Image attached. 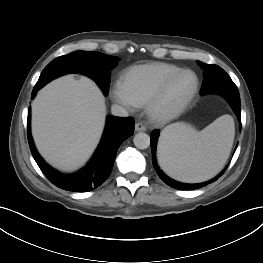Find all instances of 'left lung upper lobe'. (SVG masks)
I'll use <instances>...</instances> for the list:
<instances>
[{
    "mask_svg": "<svg viewBox=\"0 0 263 263\" xmlns=\"http://www.w3.org/2000/svg\"><path fill=\"white\" fill-rule=\"evenodd\" d=\"M202 63L198 61V64ZM219 77L214 81L216 86H234L235 84L229 75L221 68L218 72Z\"/></svg>",
    "mask_w": 263,
    "mask_h": 263,
    "instance_id": "1",
    "label": "left lung upper lobe"
}]
</instances>
